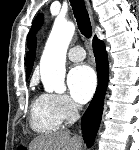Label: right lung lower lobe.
<instances>
[{
	"mask_svg": "<svg viewBox=\"0 0 139 150\" xmlns=\"http://www.w3.org/2000/svg\"><path fill=\"white\" fill-rule=\"evenodd\" d=\"M93 50L97 64L98 86L95 95L82 117L83 139L91 147L98 131L102 113L104 96L108 84L109 67L104 43L97 37L93 39Z\"/></svg>",
	"mask_w": 139,
	"mask_h": 150,
	"instance_id": "obj_1",
	"label": "right lung lower lobe"
}]
</instances>
